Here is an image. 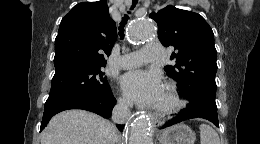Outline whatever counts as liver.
I'll use <instances>...</instances> for the list:
<instances>
[{
    "label": "liver",
    "mask_w": 260,
    "mask_h": 144,
    "mask_svg": "<svg viewBox=\"0 0 260 144\" xmlns=\"http://www.w3.org/2000/svg\"><path fill=\"white\" fill-rule=\"evenodd\" d=\"M117 130L107 120L84 110L55 115L41 133V144H115Z\"/></svg>",
    "instance_id": "obj_1"
}]
</instances>
